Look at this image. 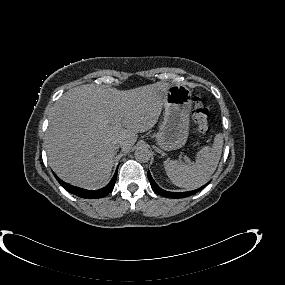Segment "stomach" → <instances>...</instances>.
Segmentation results:
<instances>
[{"instance_id": "stomach-1", "label": "stomach", "mask_w": 285, "mask_h": 285, "mask_svg": "<svg viewBox=\"0 0 285 285\" xmlns=\"http://www.w3.org/2000/svg\"><path fill=\"white\" fill-rule=\"evenodd\" d=\"M165 114L156 135L157 145L165 151L183 147L189 134L191 91L185 85H171L164 99Z\"/></svg>"}]
</instances>
